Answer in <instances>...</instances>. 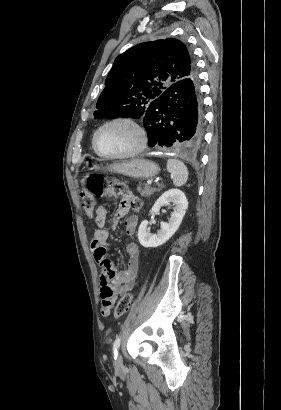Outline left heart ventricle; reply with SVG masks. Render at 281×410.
Here are the masks:
<instances>
[{"mask_svg":"<svg viewBox=\"0 0 281 410\" xmlns=\"http://www.w3.org/2000/svg\"><path fill=\"white\" fill-rule=\"evenodd\" d=\"M138 135L126 124H114L102 129L97 136L98 149L107 155L124 154L136 147Z\"/></svg>","mask_w":281,"mask_h":410,"instance_id":"1","label":"left heart ventricle"}]
</instances>
